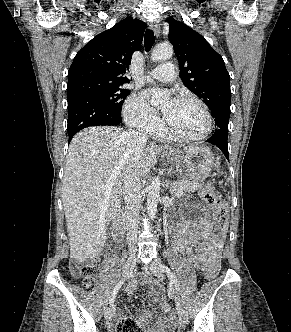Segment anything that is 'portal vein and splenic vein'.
<instances>
[{
  "mask_svg": "<svg viewBox=\"0 0 291 332\" xmlns=\"http://www.w3.org/2000/svg\"><path fill=\"white\" fill-rule=\"evenodd\" d=\"M183 194V190L182 189H180L179 191H178V196H181Z\"/></svg>",
  "mask_w": 291,
  "mask_h": 332,
  "instance_id": "18ae733b",
  "label": "portal vein and splenic vein"
}]
</instances>
